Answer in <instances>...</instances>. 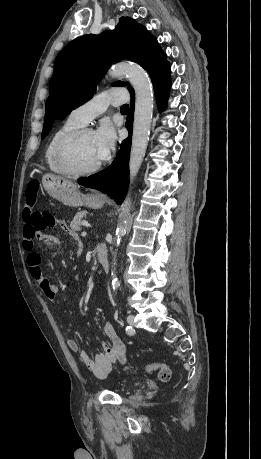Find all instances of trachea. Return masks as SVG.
<instances>
[{
	"label": "trachea",
	"mask_w": 261,
	"mask_h": 459,
	"mask_svg": "<svg viewBox=\"0 0 261 459\" xmlns=\"http://www.w3.org/2000/svg\"><path fill=\"white\" fill-rule=\"evenodd\" d=\"M129 106L127 104H124L121 106V111H128Z\"/></svg>",
	"instance_id": "obj_1"
}]
</instances>
